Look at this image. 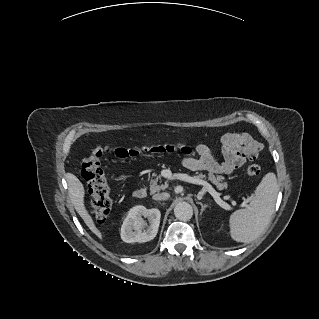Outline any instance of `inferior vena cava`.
Returning a JSON list of instances; mask_svg holds the SVG:
<instances>
[{
	"instance_id": "1",
	"label": "inferior vena cava",
	"mask_w": 319,
	"mask_h": 319,
	"mask_svg": "<svg viewBox=\"0 0 319 319\" xmlns=\"http://www.w3.org/2000/svg\"><path fill=\"white\" fill-rule=\"evenodd\" d=\"M154 200L156 201H161V200H167L170 198L169 193L163 192V193H157L155 195H153L152 197Z\"/></svg>"
}]
</instances>
